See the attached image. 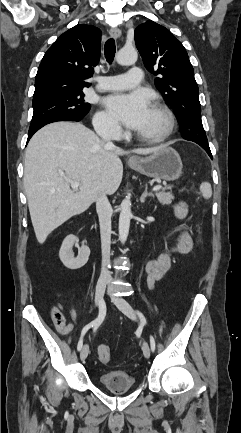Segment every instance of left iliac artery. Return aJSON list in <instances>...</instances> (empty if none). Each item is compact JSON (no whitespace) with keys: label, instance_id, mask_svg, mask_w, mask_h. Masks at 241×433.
<instances>
[{"label":"left iliac artery","instance_id":"left-iliac-artery-1","mask_svg":"<svg viewBox=\"0 0 241 433\" xmlns=\"http://www.w3.org/2000/svg\"><path fill=\"white\" fill-rule=\"evenodd\" d=\"M136 313H137V315L140 318L141 324L143 326L146 325L147 321H146L145 316L140 311H138V310L136 311ZM150 346H151L152 352H154L155 351V339H154V337L152 335H150Z\"/></svg>","mask_w":241,"mask_h":433}]
</instances>
